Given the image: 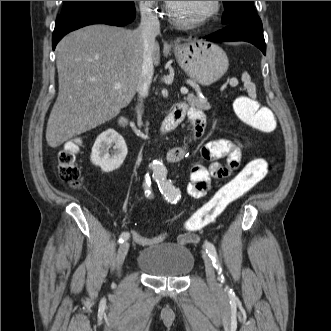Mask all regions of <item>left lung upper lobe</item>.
<instances>
[{
	"instance_id": "5c2ea615",
	"label": "left lung upper lobe",
	"mask_w": 331,
	"mask_h": 331,
	"mask_svg": "<svg viewBox=\"0 0 331 331\" xmlns=\"http://www.w3.org/2000/svg\"><path fill=\"white\" fill-rule=\"evenodd\" d=\"M223 3L225 13L222 17V23L224 25L259 18L253 1H223Z\"/></svg>"
}]
</instances>
